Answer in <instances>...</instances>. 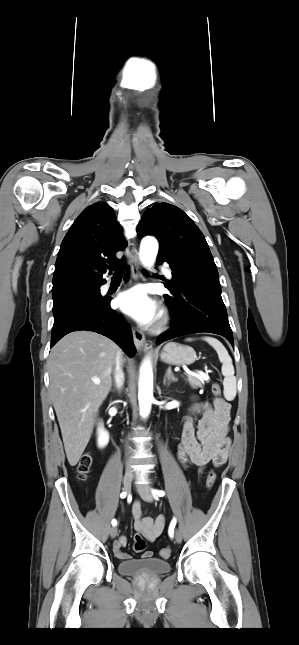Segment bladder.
<instances>
[{"mask_svg": "<svg viewBox=\"0 0 299 645\" xmlns=\"http://www.w3.org/2000/svg\"><path fill=\"white\" fill-rule=\"evenodd\" d=\"M170 570L171 565L167 560L155 557L129 559L118 565L119 573L128 576H159Z\"/></svg>", "mask_w": 299, "mask_h": 645, "instance_id": "31cf9c89", "label": "bladder"}]
</instances>
